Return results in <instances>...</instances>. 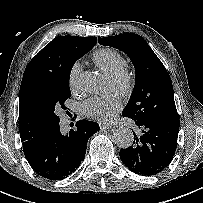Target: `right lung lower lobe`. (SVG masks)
<instances>
[{
	"label": "right lung lower lobe",
	"instance_id": "98d812e1",
	"mask_svg": "<svg viewBox=\"0 0 203 203\" xmlns=\"http://www.w3.org/2000/svg\"><path fill=\"white\" fill-rule=\"evenodd\" d=\"M76 127L65 135L57 124L46 136L23 144L25 157L37 174L50 180H62L79 167L88 139L100 127L87 120L77 121Z\"/></svg>",
	"mask_w": 203,
	"mask_h": 203
}]
</instances>
